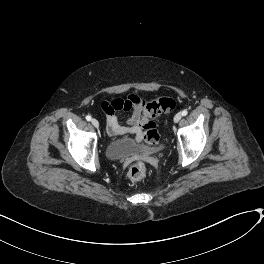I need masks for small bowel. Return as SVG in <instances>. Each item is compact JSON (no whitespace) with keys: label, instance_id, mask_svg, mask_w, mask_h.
<instances>
[{"label":"small bowel","instance_id":"c3829d8e","mask_svg":"<svg viewBox=\"0 0 264 264\" xmlns=\"http://www.w3.org/2000/svg\"><path fill=\"white\" fill-rule=\"evenodd\" d=\"M101 111L105 115L107 131L110 137L116 138L119 135L132 134L137 142L143 140L142 124L145 120L144 100L138 95H130L126 99L104 101L99 104ZM117 111L130 112L125 120V125L119 123Z\"/></svg>","mask_w":264,"mask_h":264}]
</instances>
